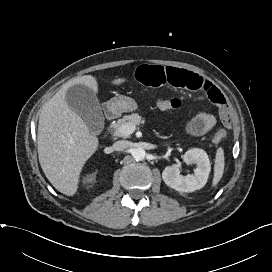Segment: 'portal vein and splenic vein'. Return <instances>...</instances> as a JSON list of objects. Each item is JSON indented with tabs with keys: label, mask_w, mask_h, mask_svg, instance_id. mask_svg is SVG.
Wrapping results in <instances>:
<instances>
[{
	"label": "portal vein and splenic vein",
	"mask_w": 272,
	"mask_h": 272,
	"mask_svg": "<svg viewBox=\"0 0 272 272\" xmlns=\"http://www.w3.org/2000/svg\"><path fill=\"white\" fill-rule=\"evenodd\" d=\"M136 130V127L130 123H127L125 125H122L119 128V132L123 135H130Z\"/></svg>",
	"instance_id": "1"
}]
</instances>
